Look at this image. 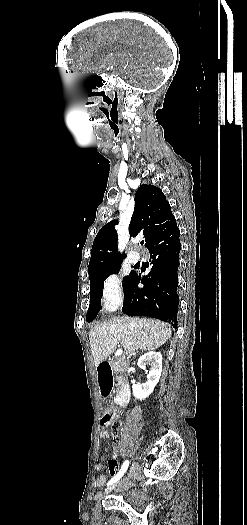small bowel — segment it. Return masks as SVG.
I'll return each instance as SVG.
<instances>
[{
	"label": "small bowel",
	"mask_w": 247,
	"mask_h": 525,
	"mask_svg": "<svg viewBox=\"0 0 247 525\" xmlns=\"http://www.w3.org/2000/svg\"><path fill=\"white\" fill-rule=\"evenodd\" d=\"M118 416H119V413H117L116 417H118ZM100 438L102 440H111L113 438V434L108 432L107 430H103L100 433ZM116 458H117V452H114L112 457H111V459H110V461H109V466L112 467L111 468L112 475H111L110 470H109V473H110L111 476H114L117 473V471H118V464H117ZM102 459H103V457L99 456V460L101 461ZM101 468H102V465L100 463L97 464L96 470L100 471ZM107 479H108V475L107 474L100 475L96 479V485L99 486V487L104 486L106 484V482H107Z\"/></svg>",
	"instance_id": "small-bowel-1"
}]
</instances>
